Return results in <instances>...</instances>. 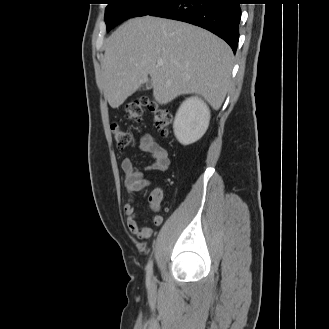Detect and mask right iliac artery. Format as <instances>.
I'll return each mask as SVG.
<instances>
[{
  "mask_svg": "<svg viewBox=\"0 0 329 329\" xmlns=\"http://www.w3.org/2000/svg\"><path fill=\"white\" fill-rule=\"evenodd\" d=\"M146 270H147V278H148V280H150L153 276V262L152 261H149Z\"/></svg>",
  "mask_w": 329,
  "mask_h": 329,
  "instance_id": "1",
  "label": "right iliac artery"
}]
</instances>
